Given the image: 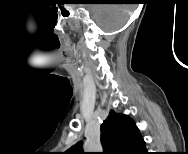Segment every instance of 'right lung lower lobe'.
Here are the masks:
<instances>
[{"mask_svg": "<svg viewBox=\"0 0 188 154\" xmlns=\"http://www.w3.org/2000/svg\"><path fill=\"white\" fill-rule=\"evenodd\" d=\"M147 152H146V149L142 152V154H146Z\"/></svg>", "mask_w": 188, "mask_h": 154, "instance_id": "98d812e1", "label": "right lung lower lobe"}]
</instances>
